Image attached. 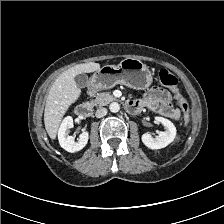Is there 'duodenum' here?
<instances>
[{
  "mask_svg": "<svg viewBox=\"0 0 224 224\" xmlns=\"http://www.w3.org/2000/svg\"><path fill=\"white\" fill-rule=\"evenodd\" d=\"M89 94H92V92H89ZM126 108H127V111L130 113H138L142 109L141 106L134 100L128 102L126 105ZM91 110H92L91 103L87 101L82 104H79L76 107L75 112L78 117L86 118L90 115Z\"/></svg>",
  "mask_w": 224,
  "mask_h": 224,
  "instance_id": "duodenum-1",
  "label": "duodenum"
}]
</instances>
